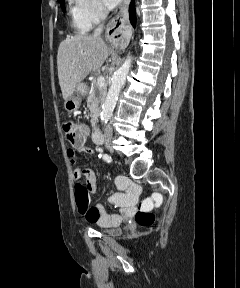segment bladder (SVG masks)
I'll list each match as a JSON object with an SVG mask.
<instances>
[{
    "label": "bladder",
    "instance_id": "bladder-1",
    "mask_svg": "<svg viewBox=\"0 0 240 288\" xmlns=\"http://www.w3.org/2000/svg\"><path fill=\"white\" fill-rule=\"evenodd\" d=\"M100 231L111 236H117L120 234V230L118 228H104L100 229Z\"/></svg>",
    "mask_w": 240,
    "mask_h": 288
}]
</instances>
